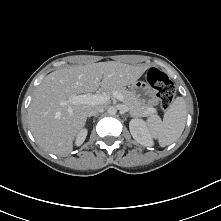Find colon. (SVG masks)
Returning <instances> with one entry per match:
<instances>
[{"instance_id":"1","label":"colon","mask_w":221,"mask_h":221,"mask_svg":"<svg viewBox=\"0 0 221 221\" xmlns=\"http://www.w3.org/2000/svg\"><path fill=\"white\" fill-rule=\"evenodd\" d=\"M147 81L157 92L161 108L169 109L176 95L173 82L164 72L156 68H151L148 71Z\"/></svg>"}]
</instances>
